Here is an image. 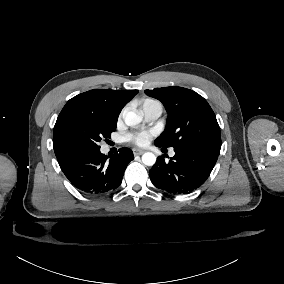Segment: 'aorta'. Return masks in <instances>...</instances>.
I'll list each match as a JSON object with an SVG mask.
<instances>
[{
	"label": "aorta",
	"instance_id": "obj_1",
	"mask_svg": "<svg viewBox=\"0 0 284 284\" xmlns=\"http://www.w3.org/2000/svg\"><path fill=\"white\" fill-rule=\"evenodd\" d=\"M123 117L128 126H135L142 121V116L135 111H125ZM142 162L147 166H153L156 162V156L151 152H146L142 155Z\"/></svg>",
	"mask_w": 284,
	"mask_h": 284
}]
</instances>
